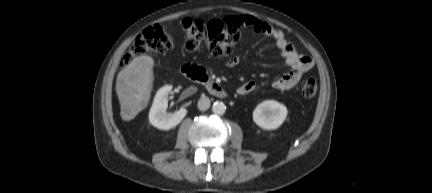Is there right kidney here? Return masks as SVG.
Returning a JSON list of instances; mask_svg holds the SVG:
<instances>
[{"label":"right kidney","mask_w":432,"mask_h":193,"mask_svg":"<svg viewBox=\"0 0 432 193\" xmlns=\"http://www.w3.org/2000/svg\"><path fill=\"white\" fill-rule=\"evenodd\" d=\"M172 90V86H164L159 89L155 95L152 107L149 112L150 123L162 130H169L176 127L186 116L187 110L180 108L174 113H167L168 95Z\"/></svg>","instance_id":"1"}]
</instances>
